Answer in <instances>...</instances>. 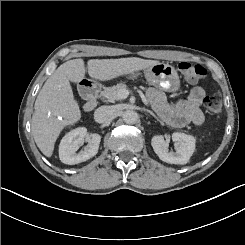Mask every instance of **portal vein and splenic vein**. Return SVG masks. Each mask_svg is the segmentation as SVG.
<instances>
[{
	"mask_svg": "<svg viewBox=\"0 0 245 245\" xmlns=\"http://www.w3.org/2000/svg\"><path fill=\"white\" fill-rule=\"evenodd\" d=\"M128 95H129V91L125 90V89L120 90L119 93H118V97L120 99H126L128 97Z\"/></svg>",
	"mask_w": 245,
	"mask_h": 245,
	"instance_id": "18ae733b",
	"label": "portal vein and splenic vein"
}]
</instances>
